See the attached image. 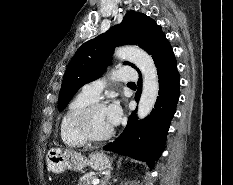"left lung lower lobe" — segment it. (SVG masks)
<instances>
[{
	"mask_svg": "<svg viewBox=\"0 0 233 185\" xmlns=\"http://www.w3.org/2000/svg\"><path fill=\"white\" fill-rule=\"evenodd\" d=\"M159 75V96L155 108L144 120H137L135 111L129 116L123 133L104 146L110 150L147 163L152 168L166 143L170 122L179 99V73L173 50L164 37L152 54ZM142 79L138 81L136 101L140 98Z\"/></svg>",
	"mask_w": 233,
	"mask_h": 185,
	"instance_id": "0a47b994",
	"label": "left lung lower lobe"
}]
</instances>
